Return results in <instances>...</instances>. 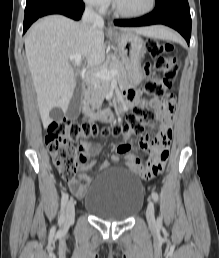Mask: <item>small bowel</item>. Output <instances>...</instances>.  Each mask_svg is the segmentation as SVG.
Returning a JSON list of instances; mask_svg holds the SVG:
<instances>
[{"label":"small bowel","mask_w":219,"mask_h":258,"mask_svg":"<svg viewBox=\"0 0 219 258\" xmlns=\"http://www.w3.org/2000/svg\"><path fill=\"white\" fill-rule=\"evenodd\" d=\"M145 73L147 76L151 74L150 65L145 66ZM136 101L137 96L133 91L129 90L124 93V103L127 106H132ZM175 104L176 100L173 94H168L162 100H153L151 102V106L156 112V119L160 123V129L152 141L146 138L141 139V148L152 153L149 162H146V166H143L141 160L135 154L131 153L133 146L129 142L117 146L116 152L111 155V161L118 162L119 154H122L126 166L132 172L140 174L144 178V183H155V178L164 175L163 169L169 156ZM152 147L159 148L152 150ZM99 151L100 146L98 144H86L83 146V154L79 163V173L76 178L68 182L70 191L79 198L85 195L92 180L86 175V171L95 166V160L88 161V153L96 155ZM162 151H165V153H162ZM107 166L108 163L101 165L102 168H106Z\"/></svg>","instance_id":"c3829d8e"}]
</instances>
